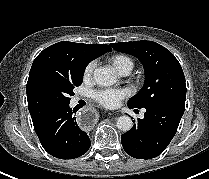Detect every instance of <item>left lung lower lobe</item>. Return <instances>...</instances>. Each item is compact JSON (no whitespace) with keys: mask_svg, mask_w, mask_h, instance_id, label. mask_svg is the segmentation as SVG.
Segmentation results:
<instances>
[{"mask_svg":"<svg viewBox=\"0 0 209 179\" xmlns=\"http://www.w3.org/2000/svg\"><path fill=\"white\" fill-rule=\"evenodd\" d=\"M144 108V119H138L131 130L121 135L124 150L137 159L155 158L166 149L177 131L185 102L159 103Z\"/></svg>","mask_w":209,"mask_h":179,"instance_id":"1","label":"left lung lower lobe"}]
</instances>
